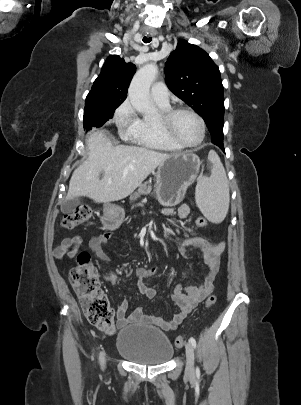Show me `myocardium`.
I'll list each match as a JSON object with an SVG mask.
<instances>
[{"mask_svg":"<svg viewBox=\"0 0 301 405\" xmlns=\"http://www.w3.org/2000/svg\"><path fill=\"white\" fill-rule=\"evenodd\" d=\"M190 113L193 115L199 122L201 128V135L197 142L193 144H188L183 142L174 132L173 123L176 116L180 113ZM157 125L160 132L170 141L177 144L181 148H196L202 144L206 136V124L202 116L196 112L194 109L189 107H176L171 109L163 110L159 117L157 118Z\"/></svg>","mask_w":301,"mask_h":405,"instance_id":"obj_1","label":"myocardium"}]
</instances>
